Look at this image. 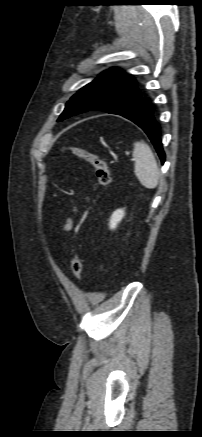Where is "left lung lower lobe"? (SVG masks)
Returning <instances> with one entry per match:
<instances>
[{
    "instance_id": "left-lung-lower-lobe-1",
    "label": "left lung lower lobe",
    "mask_w": 202,
    "mask_h": 437,
    "mask_svg": "<svg viewBox=\"0 0 202 437\" xmlns=\"http://www.w3.org/2000/svg\"><path fill=\"white\" fill-rule=\"evenodd\" d=\"M153 109L149 98L139 96L107 111V113L123 116L137 124L151 140L163 164L165 162V153L160 138V126L153 117Z\"/></svg>"
}]
</instances>
